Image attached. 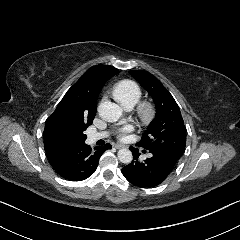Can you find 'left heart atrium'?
<instances>
[{"label": "left heart atrium", "mask_w": 240, "mask_h": 240, "mask_svg": "<svg viewBox=\"0 0 240 240\" xmlns=\"http://www.w3.org/2000/svg\"><path fill=\"white\" fill-rule=\"evenodd\" d=\"M132 127L131 126H125L124 128H122V129H120L119 131H118V136L120 137V139H124L125 138V135L127 134V133H129V132H131L132 131Z\"/></svg>", "instance_id": "39dd6f15"}]
</instances>
